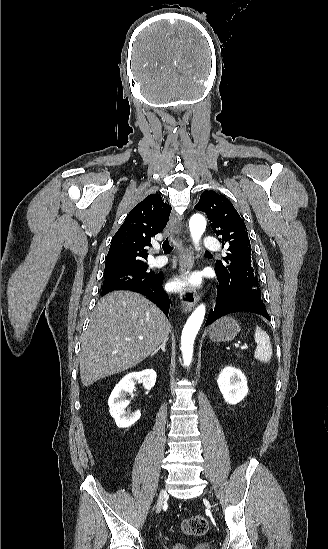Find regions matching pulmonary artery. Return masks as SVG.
Masks as SVG:
<instances>
[{
	"label": "pulmonary artery",
	"instance_id": "obj_1",
	"mask_svg": "<svg viewBox=\"0 0 328 549\" xmlns=\"http://www.w3.org/2000/svg\"><path fill=\"white\" fill-rule=\"evenodd\" d=\"M205 248L208 252H219L221 245L219 241H208L205 245ZM166 263V258L164 256H152L149 259V265L151 267H160Z\"/></svg>",
	"mask_w": 328,
	"mask_h": 549
}]
</instances>
